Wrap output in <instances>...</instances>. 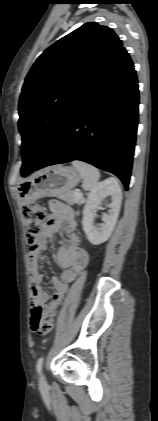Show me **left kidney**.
I'll return each mask as SVG.
<instances>
[{
    "label": "left kidney",
    "instance_id": "1",
    "mask_svg": "<svg viewBox=\"0 0 158 421\" xmlns=\"http://www.w3.org/2000/svg\"><path fill=\"white\" fill-rule=\"evenodd\" d=\"M111 197L109 211L102 216L103 224L100 228L93 226L94 210L106 198ZM122 192L118 181L115 178H108L100 183L90 192L83 211L82 225L89 242L93 245L104 243L111 236L116 225L120 212Z\"/></svg>",
    "mask_w": 158,
    "mask_h": 421
}]
</instances>
